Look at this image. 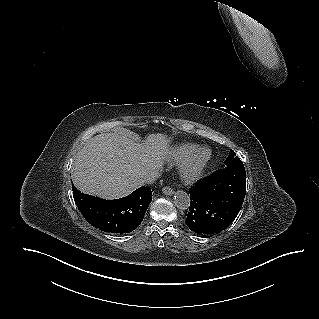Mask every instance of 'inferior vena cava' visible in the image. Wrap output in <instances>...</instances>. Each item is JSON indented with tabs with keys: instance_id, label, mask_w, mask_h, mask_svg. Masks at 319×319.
Wrapping results in <instances>:
<instances>
[{
	"instance_id": "602c4592",
	"label": "inferior vena cava",
	"mask_w": 319,
	"mask_h": 319,
	"mask_svg": "<svg viewBox=\"0 0 319 319\" xmlns=\"http://www.w3.org/2000/svg\"><path fill=\"white\" fill-rule=\"evenodd\" d=\"M158 177H159V171H152L145 174L142 177L141 181L143 184H152L158 179Z\"/></svg>"
}]
</instances>
